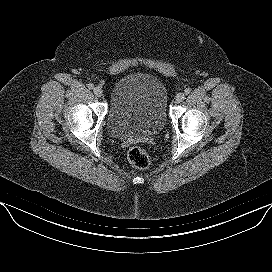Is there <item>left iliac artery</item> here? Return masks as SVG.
<instances>
[{"instance_id":"left-iliac-artery-1","label":"left iliac artery","mask_w":272,"mask_h":272,"mask_svg":"<svg viewBox=\"0 0 272 272\" xmlns=\"http://www.w3.org/2000/svg\"><path fill=\"white\" fill-rule=\"evenodd\" d=\"M184 92H185V94L187 95V94H189V93L191 92V89H190V88H186V89L184 90Z\"/></svg>"}]
</instances>
